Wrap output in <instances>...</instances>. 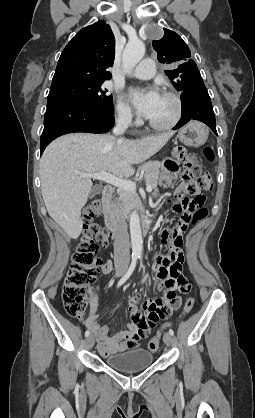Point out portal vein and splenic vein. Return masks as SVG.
Instances as JSON below:
<instances>
[{
  "instance_id": "obj_1",
  "label": "portal vein and splenic vein",
  "mask_w": 255,
  "mask_h": 418,
  "mask_svg": "<svg viewBox=\"0 0 255 418\" xmlns=\"http://www.w3.org/2000/svg\"><path fill=\"white\" fill-rule=\"evenodd\" d=\"M82 177H89L93 179L102 180L106 183H109L111 185H114L120 189H124L130 192L136 191V183L132 182L130 180L123 179L121 177H117L115 175H112L110 173H107L105 171H100L98 173H78ZM147 192L152 191L151 185H147L146 187Z\"/></svg>"
}]
</instances>
